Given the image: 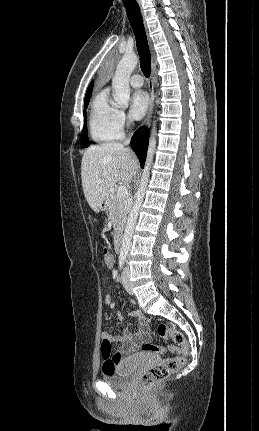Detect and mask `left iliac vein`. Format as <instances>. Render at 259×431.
Listing matches in <instances>:
<instances>
[{
  "mask_svg": "<svg viewBox=\"0 0 259 431\" xmlns=\"http://www.w3.org/2000/svg\"><path fill=\"white\" fill-rule=\"evenodd\" d=\"M129 277H130L129 268L126 266L123 270V273H122V283H123L125 290L129 294H133V290H132V286L130 284Z\"/></svg>",
  "mask_w": 259,
  "mask_h": 431,
  "instance_id": "left-iliac-vein-1",
  "label": "left iliac vein"
}]
</instances>
